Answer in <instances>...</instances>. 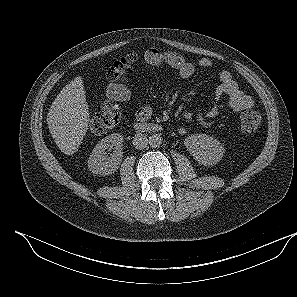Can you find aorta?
Instances as JSON below:
<instances>
[{
	"label": "aorta",
	"instance_id": "762f6f07",
	"mask_svg": "<svg viewBox=\"0 0 297 297\" xmlns=\"http://www.w3.org/2000/svg\"><path fill=\"white\" fill-rule=\"evenodd\" d=\"M148 143L151 147H159L162 143V138L159 134H152L148 138Z\"/></svg>",
	"mask_w": 297,
	"mask_h": 297
}]
</instances>
